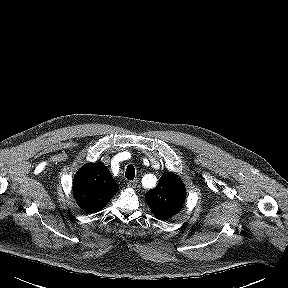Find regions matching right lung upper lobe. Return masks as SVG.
Segmentation results:
<instances>
[{
	"label": "right lung upper lobe",
	"instance_id": "1",
	"mask_svg": "<svg viewBox=\"0 0 288 288\" xmlns=\"http://www.w3.org/2000/svg\"><path fill=\"white\" fill-rule=\"evenodd\" d=\"M117 191L118 185L110 171L100 163L86 164L74 177V197L78 205L90 213L104 208Z\"/></svg>",
	"mask_w": 288,
	"mask_h": 288
}]
</instances>
